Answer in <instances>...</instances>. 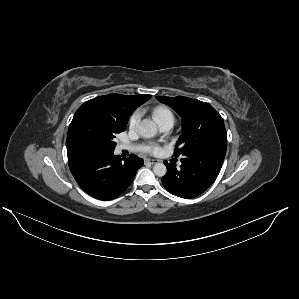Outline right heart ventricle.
Here are the masks:
<instances>
[{"instance_id":"1","label":"right heart ventricle","mask_w":299,"mask_h":299,"mask_svg":"<svg viewBox=\"0 0 299 299\" xmlns=\"http://www.w3.org/2000/svg\"><path fill=\"white\" fill-rule=\"evenodd\" d=\"M153 115L157 119V121L161 124L166 121L174 122V115L172 111L164 106H158L153 109Z\"/></svg>"}]
</instances>
